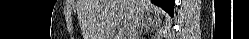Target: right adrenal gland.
<instances>
[{
  "label": "right adrenal gland",
  "mask_w": 249,
  "mask_h": 39,
  "mask_svg": "<svg viewBox=\"0 0 249 39\" xmlns=\"http://www.w3.org/2000/svg\"><path fill=\"white\" fill-rule=\"evenodd\" d=\"M142 33V29L139 30L138 34H141Z\"/></svg>",
  "instance_id": "2a0ac1e0"
}]
</instances>
